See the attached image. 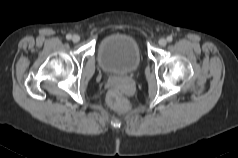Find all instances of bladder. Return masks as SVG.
<instances>
[{
    "mask_svg": "<svg viewBox=\"0 0 238 158\" xmlns=\"http://www.w3.org/2000/svg\"><path fill=\"white\" fill-rule=\"evenodd\" d=\"M97 60L101 69L106 73L134 72L141 62L139 45L136 39L129 34H110L100 42Z\"/></svg>",
    "mask_w": 238,
    "mask_h": 158,
    "instance_id": "31cf9c89",
    "label": "bladder"
}]
</instances>
